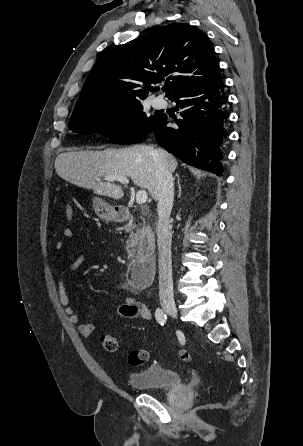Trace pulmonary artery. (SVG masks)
I'll list each match as a JSON object with an SVG mask.
<instances>
[{"label":"pulmonary artery","mask_w":303,"mask_h":446,"mask_svg":"<svg viewBox=\"0 0 303 446\" xmlns=\"http://www.w3.org/2000/svg\"><path fill=\"white\" fill-rule=\"evenodd\" d=\"M165 101L162 98H156L153 101V105L156 108H163L165 106Z\"/></svg>","instance_id":"1"}]
</instances>
